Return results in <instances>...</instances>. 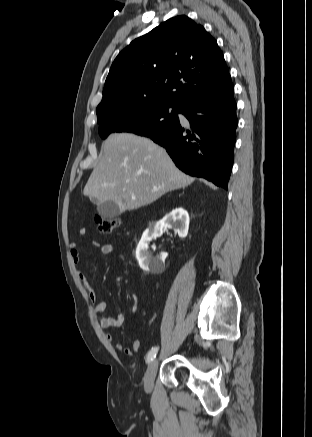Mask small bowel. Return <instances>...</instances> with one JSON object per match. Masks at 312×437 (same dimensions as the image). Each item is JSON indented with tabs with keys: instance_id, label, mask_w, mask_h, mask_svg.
I'll use <instances>...</instances> for the list:
<instances>
[{
	"instance_id": "small-bowel-1",
	"label": "small bowel",
	"mask_w": 312,
	"mask_h": 437,
	"mask_svg": "<svg viewBox=\"0 0 312 437\" xmlns=\"http://www.w3.org/2000/svg\"><path fill=\"white\" fill-rule=\"evenodd\" d=\"M78 233L80 236H85L86 230L84 228H81V229H79ZM93 245L95 247L99 248V252L102 256H107V255H110L111 253L114 252V246L112 244H109V243L100 244L99 242L95 241V242H93ZM70 255H71L73 263L75 265H79L80 252L78 250V246H77L76 242L70 243ZM77 274L87 290L89 299L94 304L95 312L96 313H103L106 310V303L97 300L96 291L92 288V286L88 282L86 275L80 270L77 271ZM124 320H125V317L123 314H118L116 316L103 315L100 319V327L102 329L119 327L123 324ZM105 339L109 343L114 342V336L111 333H106ZM115 348L119 351L124 352L128 356H133L136 353L137 349L139 348V341L135 340L131 347H126L122 343L118 342L115 344Z\"/></svg>"
}]
</instances>
